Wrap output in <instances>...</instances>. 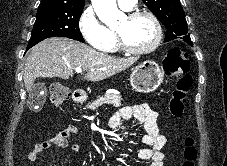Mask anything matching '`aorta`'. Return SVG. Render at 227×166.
Masks as SVG:
<instances>
[{
	"label": "aorta",
	"instance_id": "aorta-1",
	"mask_svg": "<svg viewBox=\"0 0 227 166\" xmlns=\"http://www.w3.org/2000/svg\"><path fill=\"white\" fill-rule=\"evenodd\" d=\"M99 19L107 26L125 18V14L116 5V0H91Z\"/></svg>",
	"mask_w": 227,
	"mask_h": 166
}]
</instances>
